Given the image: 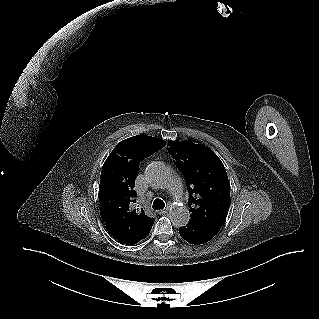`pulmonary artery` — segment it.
Returning <instances> with one entry per match:
<instances>
[{"instance_id":"1","label":"pulmonary artery","mask_w":319,"mask_h":319,"mask_svg":"<svg viewBox=\"0 0 319 319\" xmlns=\"http://www.w3.org/2000/svg\"><path fill=\"white\" fill-rule=\"evenodd\" d=\"M171 189H173L174 193L176 196H181L182 195V184L181 180L177 178L175 182L173 183Z\"/></svg>"}]
</instances>
